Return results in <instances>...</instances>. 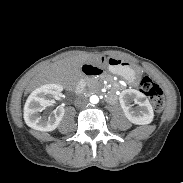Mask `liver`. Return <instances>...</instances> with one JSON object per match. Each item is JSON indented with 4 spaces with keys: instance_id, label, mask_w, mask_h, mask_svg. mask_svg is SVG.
<instances>
[{
    "instance_id": "6515ba94",
    "label": "liver",
    "mask_w": 183,
    "mask_h": 183,
    "mask_svg": "<svg viewBox=\"0 0 183 183\" xmlns=\"http://www.w3.org/2000/svg\"><path fill=\"white\" fill-rule=\"evenodd\" d=\"M89 59V55L74 56L52 64L46 72L34 81L30 89L46 82L70 84L80 76V68Z\"/></svg>"
}]
</instances>
